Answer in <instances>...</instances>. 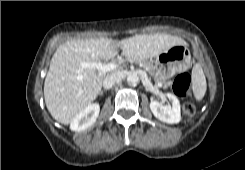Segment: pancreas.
I'll return each instance as SVG.
<instances>
[{
	"mask_svg": "<svg viewBox=\"0 0 245 170\" xmlns=\"http://www.w3.org/2000/svg\"><path fill=\"white\" fill-rule=\"evenodd\" d=\"M132 61L141 65L149 73L150 77H153L156 82L163 83L165 88L171 85V81L167 82V81H165L159 77L155 66L151 62H149L148 60H146V59H134Z\"/></svg>",
	"mask_w": 245,
	"mask_h": 170,
	"instance_id": "obj_1",
	"label": "pancreas"
}]
</instances>
